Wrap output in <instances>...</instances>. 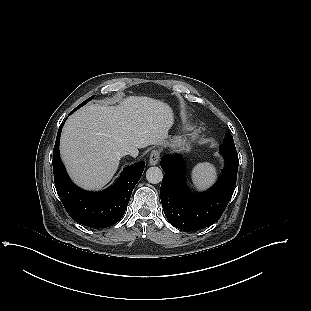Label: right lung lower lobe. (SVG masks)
I'll use <instances>...</instances> for the list:
<instances>
[{"label": "right lung lower lobe", "instance_id": "1", "mask_svg": "<svg viewBox=\"0 0 311 311\" xmlns=\"http://www.w3.org/2000/svg\"><path fill=\"white\" fill-rule=\"evenodd\" d=\"M63 124L59 127L53 150V171L57 193L66 211L76 222L91 228L112 226L124 215L132 190L143 173L145 163L139 162L126 167L117 183L102 192L84 191L72 183L60 159L59 140Z\"/></svg>", "mask_w": 311, "mask_h": 311}]
</instances>
